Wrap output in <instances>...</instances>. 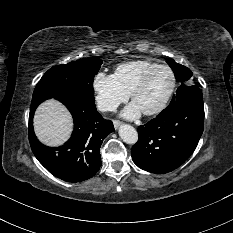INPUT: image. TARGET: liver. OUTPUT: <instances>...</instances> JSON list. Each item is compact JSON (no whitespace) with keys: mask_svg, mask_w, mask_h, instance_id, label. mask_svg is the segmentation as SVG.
<instances>
[{"mask_svg":"<svg viewBox=\"0 0 233 233\" xmlns=\"http://www.w3.org/2000/svg\"><path fill=\"white\" fill-rule=\"evenodd\" d=\"M72 117L67 108L55 99L43 102L34 116V130L38 139L47 146H59L70 137Z\"/></svg>","mask_w":233,"mask_h":233,"instance_id":"liver-1","label":"liver"}]
</instances>
